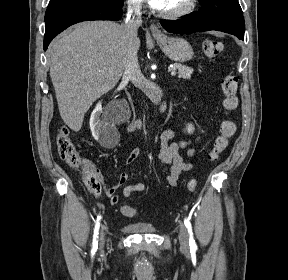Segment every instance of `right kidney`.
I'll list each match as a JSON object with an SVG mask.
<instances>
[{"label": "right kidney", "mask_w": 288, "mask_h": 280, "mask_svg": "<svg viewBox=\"0 0 288 280\" xmlns=\"http://www.w3.org/2000/svg\"><path fill=\"white\" fill-rule=\"evenodd\" d=\"M90 129L93 137L100 145L110 147L116 140V130L114 124L104 116L102 105L98 103L90 117Z\"/></svg>", "instance_id": "1"}]
</instances>
